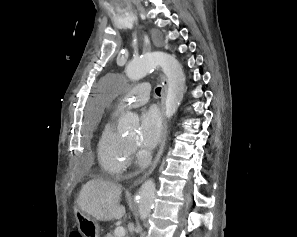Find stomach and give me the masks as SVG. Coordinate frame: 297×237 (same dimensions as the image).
I'll list each match as a JSON object with an SVG mask.
<instances>
[{
	"mask_svg": "<svg viewBox=\"0 0 297 237\" xmlns=\"http://www.w3.org/2000/svg\"><path fill=\"white\" fill-rule=\"evenodd\" d=\"M75 216L78 230L83 237H99L100 227L96 220L82 211H77Z\"/></svg>",
	"mask_w": 297,
	"mask_h": 237,
	"instance_id": "1",
	"label": "stomach"
}]
</instances>
